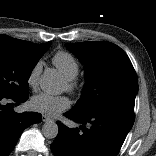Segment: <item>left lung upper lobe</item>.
I'll return each mask as SVG.
<instances>
[{"label": "left lung upper lobe", "mask_w": 156, "mask_h": 156, "mask_svg": "<svg viewBox=\"0 0 156 156\" xmlns=\"http://www.w3.org/2000/svg\"><path fill=\"white\" fill-rule=\"evenodd\" d=\"M67 48L85 65V86L75 112L103 107H121L134 112L138 82L127 54L109 42L67 43Z\"/></svg>", "instance_id": "5c2ea615"}]
</instances>
